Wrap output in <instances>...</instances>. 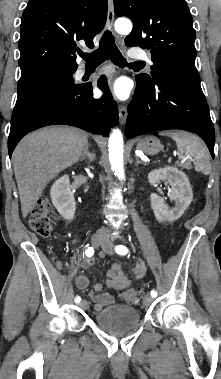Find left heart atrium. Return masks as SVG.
<instances>
[{
  "instance_id": "1",
  "label": "left heart atrium",
  "mask_w": 221,
  "mask_h": 379,
  "mask_svg": "<svg viewBox=\"0 0 221 379\" xmlns=\"http://www.w3.org/2000/svg\"><path fill=\"white\" fill-rule=\"evenodd\" d=\"M111 93L114 97L124 100L129 96V85L125 80H117L111 86Z\"/></svg>"
}]
</instances>
